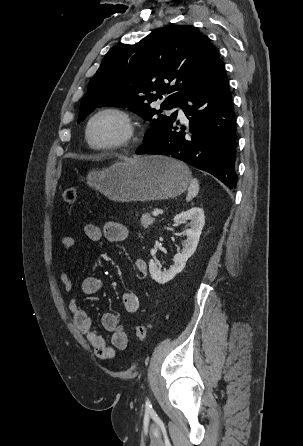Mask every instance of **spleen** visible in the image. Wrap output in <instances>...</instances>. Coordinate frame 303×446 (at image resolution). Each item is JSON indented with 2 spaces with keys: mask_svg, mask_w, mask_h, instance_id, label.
Listing matches in <instances>:
<instances>
[{
  "mask_svg": "<svg viewBox=\"0 0 303 446\" xmlns=\"http://www.w3.org/2000/svg\"><path fill=\"white\" fill-rule=\"evenodd\" d=\"M198 192H199V183L198 180L194 178L191 180V183L189 185L186 200L187 201L192 200L194 197L197 196Z\"/></svg>",
  "mask_w": 303,
  "mask_h": 446,
  "instance_id": "spleen-1",
  "label": "spleen"
}]
</instances>
